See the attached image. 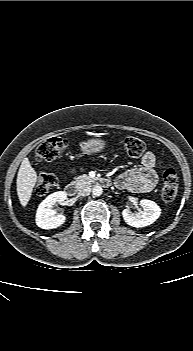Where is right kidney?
<instances>
[{"label": "right kidney", "mask_w": 193, "mask_h": 351, "mask_svg": "<svg viewBox=\"0 0 193 351\" xmlns=\"http://www.w3.org/2000/svg\"><path fill=\"white\" fill-rule=\"evenodd\" d=\"M66 199L67 193L64 191L54 192L47 196L38 206L36 213L37 226L42 229H53L61 226L66 217L62 214H56L52 207L56 203L62 204Z\"/></svg>", "instance_id": "1"}]
</instances>
